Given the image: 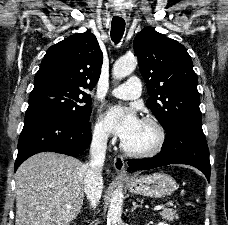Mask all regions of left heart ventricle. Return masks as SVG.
Here are the masks:
<instances>
[{
  "mask_svg": "<svg viewBox=\"0 0 228 225\" xmlns=\"http://www.w3.org/2000/svg\"><path fill=\"white\" fill-rule=\"evenodd\" d=\"M156 142L157 133L155 129L149 125L142 123L137 135L126 143L132 148L149 149L152 148Z\"/></svg>",
  "mask_w": 228,
  "mask_h": 225,
  "instance_id": "left-heart-ventricle-1",
  "label": "left heart ventricle"
}]
</instances>
